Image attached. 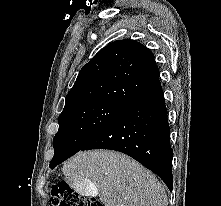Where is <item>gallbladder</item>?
Listing matches in <instances>:
<instances>
[{
	"label": "gallbladder",
	"mask_w": 221,
	"mask_h": 206,
	"mask_svg": "<svg viewBox=\"0 0 221 206\" xmlns=\"http://www.w3.org/2000/svg\"><path fill=\"white\" fill-rule=\"evenodd\" d=\"M73 194H81V198H96L97 189L91 185V181H67Z\"/></svg>",
	"instance_id": "1"
}]
</instances>
